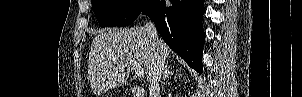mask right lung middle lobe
I'll list each match as a JSON object with an SVG mask.
<instances>
[{
    "instance_id": "right-lung-middle-lobe-1",
    "label": "right lung middle lobe",
    "mask_w": 302,
    "mask_h": 97,
    "mask_svg": "<svg viewBox=\"0 0 302 97\" xmlns=\"http://www.w3.org/2000/svg\"><path fill=\"white\" fill-rule=\"evenodd\" d=\"M149 0H92L101 27H124L133 23Z\"/></svg>"
}]
</instances>
